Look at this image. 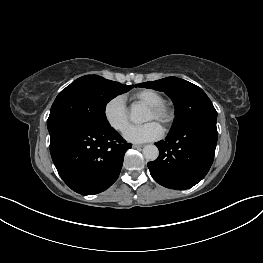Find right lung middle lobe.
<instances>
[{
	"label": "right lung middle lobe",
	"mask_w": 263,
	"mask_h": 263,
	"mask_svg": "<svg viewBox=\"0 0 263 263\" xmlns=\"http://www.w3.org/2000/svg\"><path fill=\"white\" fill-rule=\"evenodd\" d=\"M134 85H124L98 75L78 78L56 97L47 120L50 129L62 122H82L97 127H109L106 104Z\"/></svg>",
	"instance_id": "obj_1"
}]
</instances>
